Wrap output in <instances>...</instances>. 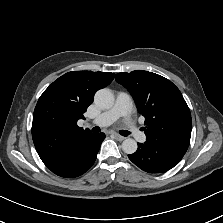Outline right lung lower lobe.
Masks as SVG:
<instances>
[{"label": "right lung lower lobe", "instance_id": "right-lung-lower-lobe-1", "mask_svg": "<svg viewBox=\"0 0 223 223\" xmlns=\"http://www.w3.org/2000/svg\"><path fill=\"white\" fill-rule=\"evenodd\" d=\"M103 133L91 134L81 143L69 161L51 171L58 176L74 178L85 173L95 162L100 145L104 140Z\"/></svg>", "mask_w": 223, "mask_h": 223}]
</instances>
